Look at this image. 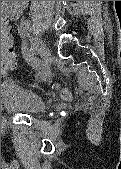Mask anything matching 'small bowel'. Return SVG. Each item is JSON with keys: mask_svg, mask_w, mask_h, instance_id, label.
<instances>
[{"mask_svg": "<svg viewBox=\"0 0 121 169\" xmlns=\"http://www.w3.org/2000/svg\"><path fill=\"white\" fill-rule=\"evenodd\" d=\"M26 1H12L10 4H6L2 9V23H3V30H2V36H1V43L4 40H8L10 45L12 46V38L8 33V30L6 28V23L9 20L18 18L25 7Z\"/></svg>", "mask_w": 121, "mask_h": 169, "instance_id": "c3829d8e", "label": "small bowel"}]
</instances>
